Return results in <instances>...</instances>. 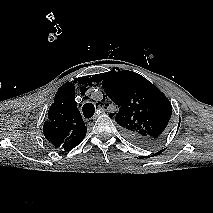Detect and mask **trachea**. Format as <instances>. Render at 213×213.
Segmentation results:
<instances>
[{
  "label": "trachea",
  "instance_id": "1",
  "mask_svg": "<svg viewBox=\"0 0 213 213\" xmlns=\"http://www.w3.org/2000/svg\"><path fill=\"white\" fill-rule=\"evenodd\" d=\"M82 111L85 118H91L95 113V107L92 103H86L83 105Z\"/></svg>",
  "mask_w": 213,
  "mask_h": 213
}]
</instances>
